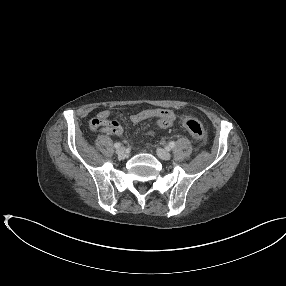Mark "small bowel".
I'll list each match as a JSON object with an SVG mask.
<instances>
[{
	"label": "small bowel",
	"instance_id": "small-bowel-1",
	"mask_svg": "<svg viewBox=\"0 0 286 286\" xmlns=\"http://www.w3.org/2000/svg\"><path fill=\"white\" fill-rule=\"evenodd\" d=\"M110 111L105 109L100 111L96 117H94L90 123L89 128L92 131L101 129L102 132L110 135L120 136L123 134L122 125L115 120H110ZM147 119H155L157 125L162 129H168L172 127L175 119L176 113L171 109H147L135 113L130 116V120L134 124H138Z\"/></svg>",
	"mask_w": 286,
	"mask_h": 286
}]
</instances>
